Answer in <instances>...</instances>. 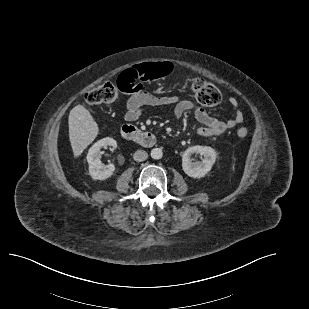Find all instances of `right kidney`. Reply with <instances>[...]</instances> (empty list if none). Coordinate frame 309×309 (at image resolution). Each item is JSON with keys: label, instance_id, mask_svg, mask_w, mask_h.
I'll use <instances>...</instances> for the list:
<instances>
[{"label": "right kidney", "instance_id": "right-kidney-1", "mask_svg": "<svg viewBox=\"0 0 309 309\" xmlns=\"http://www.w3.org/2000/svg\"><path fill=\"white\" fill-rule=\"evenodd\" d=\"M117 147V142L110 137L103 138L91 146L87 154L89 164V174L93 180H105L114 173V164L104 165L100 160V150L102 147Z\"/></svg>", "mask_w": 309, "mask_h": 309}]
</instances>
